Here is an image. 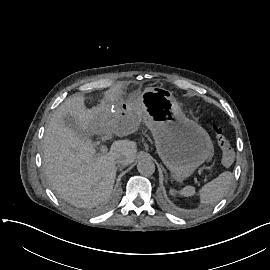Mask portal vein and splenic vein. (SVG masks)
Here are the masks:
<instances>
[{"instance_id": "obj_1", "label": "portal vein and splenic vein", "mask_w": 270, "mask_h": 270, "mask_svg": "<svg viewBox=\"0 0 270 270\" xmlns=\"http://www.w3.org/2000/svg\"><path fill=\"white\" fill-rule=\"evenodd\" d=\"M99 151H100V152H105V151H107V150H106V145H105V144H101V145L99 146Z\"/></svg>"}]
</instances>
